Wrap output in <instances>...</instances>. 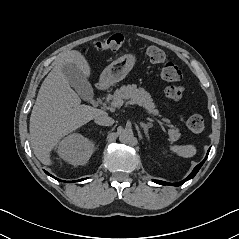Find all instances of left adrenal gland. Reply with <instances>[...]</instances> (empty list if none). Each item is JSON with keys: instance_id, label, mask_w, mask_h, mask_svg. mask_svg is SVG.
I'll use <instances>...</instances> for the list:
<instances>
[{"instance_id": "left-adrenal-gland-1", "label": "left adrenal gland", "mask_w": 239, "mask_h": 239, "mask_svg": "<svg viewBox=\"0 0 239 239\" xmlns=\"http://www.w3.org/2000/svg\"><path fill=\"white\" fill-rule=\"evenodd\" d=\"M140 126L143 128L145 136L149 140L148 130H149V128H151L153 126L152 123L145 124L144 122H140Z\"/></svg>"}]
</instances>
